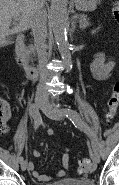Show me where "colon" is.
Instances as JSON below:
<instances>
[{
    "label": "colon",
    "instance_id": "obj_1",
    "mask_svg": "<svg viewBox=\"0 0 119 185\" xmlns=\"http://www.w3.org/2000/svg\"><path fill=\"white\" fill-rule=\"evenodd\" d=\"M112 14L114 18L119 21V7L115 6L112 9ZM119 105V83L114 84L111 93L109 95L108 101H107V107H108V114H107V120L111 121L118 109ZM9 120L7 115L4 113L3 106L0 104V132L1 133H7L9 130ZM78 172L81 174H88L93 171V163L89 159L82 160L77 168Z\"/></svg>",
    "mask_w": 119,
    "mask_h": 185
}]
</instances>
